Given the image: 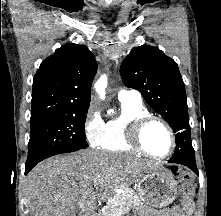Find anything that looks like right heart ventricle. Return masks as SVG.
Segmentation results:
<instances>
[{"mask_svg":"<svg viewBox=\"0 0 221 216\" xmlns=\"http://www.w3.org/2000/svg\"><path fill=\"white\" fill-rule=\"evenodd\" d=\"M120 114L105 123L100 146L115 153H137L128 142V129L137 119L150 114L141 100L120 101Z\"/></svg>","mask_w":221,"mask_h":216,"instance_id":"obj_1","label":"right heart ventricle"}]
</instances>
